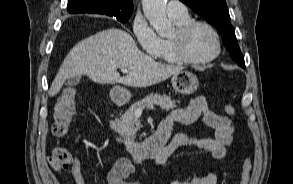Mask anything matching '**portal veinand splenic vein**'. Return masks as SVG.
<instances>
[{
  "mask_svg": "<svg viewBox=\"0 0 293 184\" xmlns=\"http://www.w3.org/2000/svg\"><path fill=\"white\" fill-rule=\"evenodd\" d=\"M121 71H122V73H125V74L129 73V70L126 69V68H121ZM148 109L154 110L153 107H148ZM142 110L143 109L139 108V109H137L136 113L137 114H141L142 113Z\"/></svg>",
  "mask_w": 293,
  "mask_h": 184,
  "instance_id": "1",
  "label": "portal vein and splenic vein"
}]
</instances>
